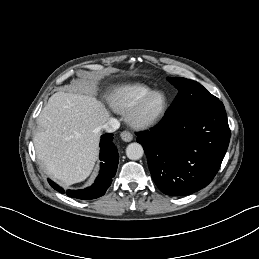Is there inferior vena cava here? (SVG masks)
I'll return each mask as SVG.
<instances>
[{"mask_svg": "<svg viewBox=\"0 0 259 259\" xmlns=\"http://www.w3.org/2000/svg\"><path fill=\"white\" fill-rule=\"evenodd\" d=\"M119 126H120V123L116 119L110 118L101 126V128L105 132L111 133L116 131L119 128Z\"/></svg>", "mask_w": 259, "mask_h": 259, "instance_id": "inferior-vena-cava-1", "label": "inferior vena cava"}]
</instances>
